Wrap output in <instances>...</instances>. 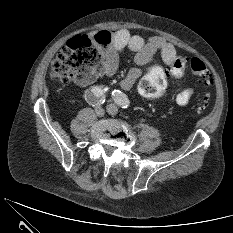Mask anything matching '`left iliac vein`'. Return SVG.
<instances>
[{
	"label": "left iliac vein",
	"mask_w": 233,
	"mask_h": 233,
	"mask_svg": "<svg viewBox=\"0 0 233 233\" xmlns=\"http://www.w3.org/2000/svg\"><path fill=\"white\" fill-rule=\"evenodd\" d=\"M106 109L110 115H117L118 113V108L115 104H108Z\"/></svg>",
	"instance_id": "left-iliac-vein-1"
}]
</instances>
